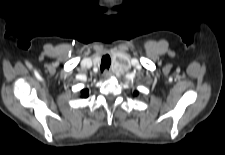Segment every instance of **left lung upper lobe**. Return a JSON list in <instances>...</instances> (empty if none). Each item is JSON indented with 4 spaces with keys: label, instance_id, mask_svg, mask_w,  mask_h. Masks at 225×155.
I'll list each match as a JSON object with an SVG mask.
<instances>
[{
    "label": "left lung upper lobe",
    "instance_id": "obj_1",
    "mask_svg": "<svg viewBox=\"0 0 225 155\" xmlns=\"http://www.w3.org/2000/svg\"><path fill=\"white\" fill-rule=\"evenodd\" d=\"M137 94H138V91H135V92H134V95H137Z\"/></svg>",
    "mask_w": 225,
    "mask_h": 155
}]
</instances>
